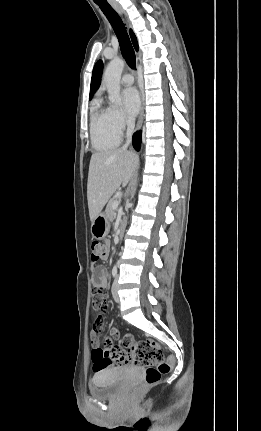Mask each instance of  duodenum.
I'll list each match as a JSON object with an SVG mask.
<instances>
[{
  "label": "duodenum",
  "mask_w": 261,
  "mask_h": 431,
  "mask_svg": "<svg viewBox=\"0 0 261 431\" xmlns=\"http://www.w3.org/2000/svg\"><path fill=\"white\" fill-rule=\"evenodd\" d=\"M122 234H123V228L120 227L118 229V231H117V241H119V239L121 238Z\"/></svg>",
  "instance_id": "1"
}]
</instances>
